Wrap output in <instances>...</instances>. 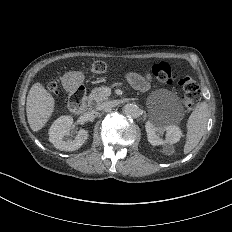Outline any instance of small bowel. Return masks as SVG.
Wrapping results in <instances>:
<instances>
[{
    "label": "small bowel",
    "mask_w": 232,
    "mask_h": 232,
    "mask_svg": "<svg viewBox=\"0 0 232 232\" xmlns=\"http://www.w3.org/2000/svg\"><path fill=\"white\" fill-rule=\"evenodd\" d=\"M126 78L138 91H147L151 85V79L142 76L137 72H127Z\"/></svg>",
    "instance_id": "small-bowel-1"
}]
</instances>
